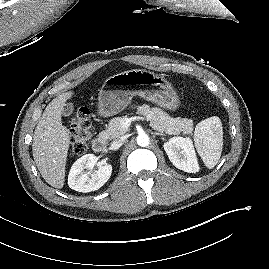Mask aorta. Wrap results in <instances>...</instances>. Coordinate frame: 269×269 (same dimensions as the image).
<instances>
[{
  "instance_id": "762f6f07",
  "label": "aorta",
  "mask_w": 269,
  "mask_h": 269,
  "mask_svg": "<svg viewBox=\"0 0 269 269\" xmlns=\"http://www.w3.org/2000/svg\"><path fill=\"white\" fill-rule=\"evenodd\" d=\"M137 144L141 147H146L149 145L150 143V138L147 134L143 133V134H139L137 136Z\"/></svg>"
}]
</instances>
